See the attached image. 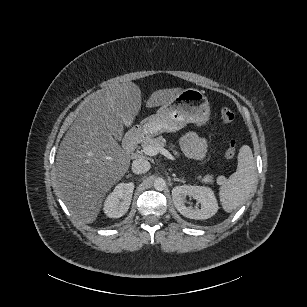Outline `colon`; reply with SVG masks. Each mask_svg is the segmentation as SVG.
<instances>
[{
	"mask_svg": "<svg viewBox=\"0 0 307 307\" xmlns=\"http://www.w3.org/2000/svg\"><path fill=\"white\" fill-rule=\"evenodd\" d=\"M220 119L223 123H230L234 119V114L229 108H222L220 111ZM236 154V141H230V147L225 151V157L231 159Z\"/></svg>",
	"mask_w": 307,
	"mask_h": 307,
	"instance_id": "obj_1",
	"label": "colon"
}]
</instances>
